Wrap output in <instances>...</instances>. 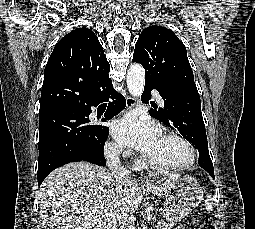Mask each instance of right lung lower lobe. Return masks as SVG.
<instances>
[{
  "mask_svg": "<svg viewBox=\"0 0 255 229\" xmlns=\"http://www.w3.org/2000/svg\"><path fill=\"white\" fill-rule=\"evenodd\" d=\"M109 99H112L113 102H109V106H108L107 111L105 113V117H106V120H110L115 115H117L121 110H123L125 108V105H126L125 98L121 94H119L117 91H115L113 89L112 85L107 87L106 89L102 90L100 93H98L93 98V100L91 102L87 103V104L80 105V106L73 107V108L56 109V110H53V111L46 112V113H44L40 116L53 115V114H55V113H57V112H59L60 110H63V109H74V110L80 111V112L86 114L87 116H89L90 113L92 112L91 106H97L100 102L108 101ZM103 121H105V119H103ZM100 127L102 128L103 135H104V138L106 140V137L109 134V128L105 127V126H100ZM81 161H88V162H91V163L99 165V166H105L106 165L104 155L102 157H100L99 159L81 160ZM53 170H50L48 172H42V173L38 172L37 177H38V185L39 186L41 185L43 180L47 177V175Z\"/></svg>",
  "mask_w": 255,
  "mask_h": 229,
  "instance_id": "98d812e1",
  "label": "right lung lower lobe"
}]
</instances>
